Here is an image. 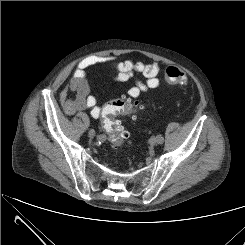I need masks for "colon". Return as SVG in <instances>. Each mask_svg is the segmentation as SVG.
Returning a JSON list of instances; mask_svg holds the SVG:
<instances>
[{"mask_svg":"<svg viewBox=\"0 0 245 245\" xmlns=\"http://www.w3.org/2000/svg\"><path fill=\"white\" fill-rule=\"evenodd\" d=\"M165 78L171 84L184 85L188 82L186 74L174 66L165 70ZM141 108L142 105L140 103L125 97L114 99L105 104L101 115L102 124L114 147H122L129 138L128 131L121 125L117 117L133 114Z\"/></svg>","mask_w":245,"mask_h":245,"instance_id":"colon-1","label":"colon"}]
</instances>
